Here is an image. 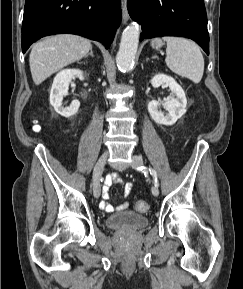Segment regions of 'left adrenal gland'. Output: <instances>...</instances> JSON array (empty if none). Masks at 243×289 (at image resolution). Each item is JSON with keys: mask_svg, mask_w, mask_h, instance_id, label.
<instances>
[{"mask_svg": "<svg viewBox=\"0 0 243 289\" xmlns=\"http://www.w3.org/2000/svg\"><path fill=\"white\" fill-rule=\"evenodd\" d=\"M155 58H157V56H156V55L152 56V59H155Z\"/></svg>", "mask_w": 243, "mask_h": 289, "instance_id": "left-adrenal-gland-1", "label": "left adrenal gland"}]
</instances>
